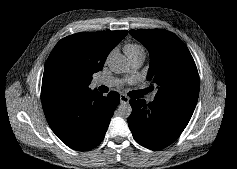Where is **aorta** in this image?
<instances>
[{"label": "aorta", "instance_id": "762f6f07", "mask_svg": "<svg viewBox=\"0 0 237 169\" xmlns=\"http://www.w3.org/2000/svg\"><path fill=\"white\" fill-rule=\"evenodd\" d=\"M108 67L114 73H126L130 68L128 59L122 55H112L108 59ZM116 113L121 118H128L132 113V107L128 102L122 101L116 110Z\"/></svg>", "mask_w": 237, "mask_h": 169}]
</instances>
